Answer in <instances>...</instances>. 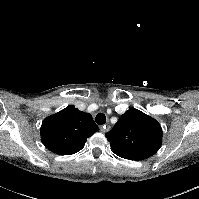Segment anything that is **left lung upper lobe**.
Here are the masks:
<instances>
[{
	"label": "left lung upper lobe",
	"instance_id": "5c2ea615",
	"mask_svg": "<svg viewBox=\"0 0 199 199\" xmlns=\"http://www.w3.org/2000/svg\"><path fill=\"white\" fill-rule=\"evenodd\" d=\"M105 136L116 155L129 160H144L155 154L162 144L160 124L135 108L122 114Z\"/></svg>",
	"mask_w": 199,
	"mask_h": 199
}]
</instances>
